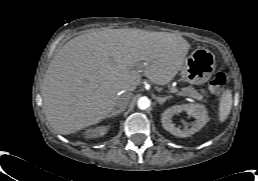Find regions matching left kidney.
<instances>
[{
    "label": "left kidney",
    "instance_id": "left-kidney-1",
    "mask_svg": "<svg viewBox=\"0 0 258 181\" xmlns=\"http://www.w3.org/2000/svg\"><path fill=\"white\" fill-rule=\"evenodd\" d=\"M182 111L187 112L196 120L191 128L183 130L176 128L172 123V117ZM162 125L165 130L178 137H189L198 132L209 121L206 108L199 104H182L168 108L162 113Z\"/></svg>",
    "mask_w": 258,
    "mask_h": 181
}]
</instances>
